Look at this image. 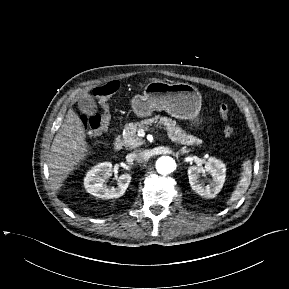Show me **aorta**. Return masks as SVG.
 <instances>
[{
    "label": "aorta",
    "mask_w": 289,
    "mask_h": 289,
    "mask_svg": "<svg viewBox=\"0 0 289 289\" xmlns=\"http://www.w3.org/2000/svg\"><path fill=\"white\" fill-rule=\"evenodd\" d=\"M176 163L169 156H162L156 161V170L159 174L167 175L174 171Z\"/></svg>",
    "instance_id": "762f6f07"
}]
</instances>
